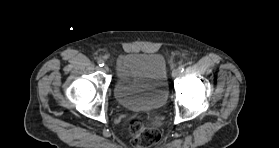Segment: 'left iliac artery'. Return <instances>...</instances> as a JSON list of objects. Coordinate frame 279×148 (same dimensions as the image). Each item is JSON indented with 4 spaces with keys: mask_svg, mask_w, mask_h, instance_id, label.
I'll list each match as a JSON object with an SVG mask.
<instances>
[{
    "mask_svg": "<svg viewBox=\"0 0 279 148\" xmlns=\"http://www.w3.org/2000/svg\"><path fill=\"white\" fill-rule=\"evenodd\" d=\"M179 70H180V72H183L184 71V66H180Z\"/></svg>",
    "mask_w": 279,
    "mask_h": 148,
    "instance_id": "obj_1",
    "label": "left iliac artery"
}]
</instances>
